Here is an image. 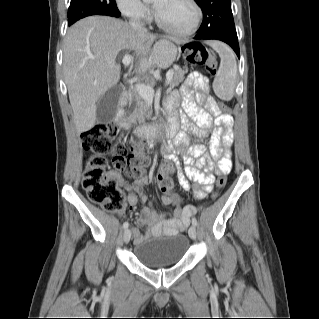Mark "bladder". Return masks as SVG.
Masks as SVG:
<instances>
[{
	"label": "bladder",
	"instance_id": "31cf9c89",
	"mask_svg": "<svg viewBox=\"0 0 319 319\" xmlns=\"http://www.w3.org/2000/svg\"><path fill=\"white\" fill-rule=\"evenodd\" d=\"M191 248L184 234L149 236L134 246V256L144 266L166 267L181 262Z\"/></svg>",
	"mask_w": 319,
	"mask_h": 319
}]
</instances>
